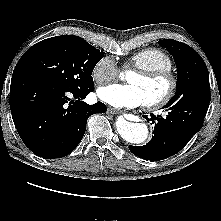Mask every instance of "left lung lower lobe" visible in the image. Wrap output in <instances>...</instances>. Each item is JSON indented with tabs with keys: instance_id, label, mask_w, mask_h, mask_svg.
Instances as JSON below:
<instances>
[{
	"instance_id": "0a47b994",
	"label": "left lung lower lobe",
	"mask_w": 221,
	"mask_h": 221,
	"mask_svg": "<svg viewBox=\"0 0 221 221\" xmlns=\"http://www.w3.org/2000/svg\"><path fill=\"white\" fill-rule=\"evenodd\" d=\"M211 94L196 96L185 102L166 104L168 115H152L151 119L144 116L154 124V136L144 146L129 145V150L136 156L152 161L168 158L178 153L197 133L207 113Z\"/></svg>"
}]
</instances>
